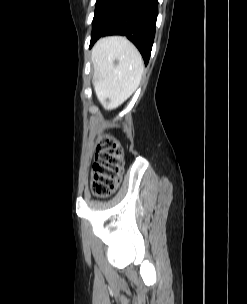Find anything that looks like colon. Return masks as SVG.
I'll list each match as a JSON object with an SVG mask.
<instances>
[{
  "label": "colon",
  "instance_id": "obj_1",
  "mask_svg": "<svg viewBox=\"0 0 247 304\" xmlns=\"http://www.w3.org/2000/svg\"><path fill=\"white\" fill-rule=\"evenodd\" d=\"M123 164V150L118 141L111 136L102 138L91 173V186L97 196H107L117 189Z\"/></svg>",
  "mask_w": 247,
  "mask_h": 304
}]
</instances>
